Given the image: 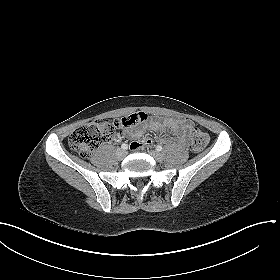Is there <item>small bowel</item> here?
Returning <instances> with one entry per match:
<instances>
[{"mask_svg":"<svg viewBox=\"0 0 280 280\" xmlns=\"http://www.w3.org/2000/svg\"><path fill=\"white\" fill-rule=\"evenodd\" d=\"M193 128V122L189 119L185 118H177V117H167L161 120L150 119L145 120L142 126L133 127L128 131V134L135 138H141L144 134L145 129L161 131V130H169L171 133L183 140L185 136L191 131ZM154 142L153 139H147L145 141V145L150 146Z\"/></svg>","mask_w":280,"mask_h":280,"instance_id":"1","label":"small bowel"}]
</instances>
